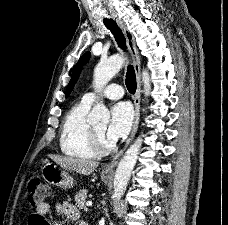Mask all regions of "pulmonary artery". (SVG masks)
<instances>
[{"label":"pulmonary artery","mask_w":228,"mask_h":225,"mask_svg":"<svg viewBox=\"0 0 228 225\" xmlns=\"http://www.w3.org/2000/svg\"><path fill=\"white\" fill-rule=\"evenodd\" d=\"M103 95L109 99H119L124 95V91L122 87L116 84L106 85V90H103ZM96 97V93L88 92L83 95L82 100L89 104H92L95 101Z\"/></svg>","instance_id":"pulmonary-artery-1"}]
</instances>
